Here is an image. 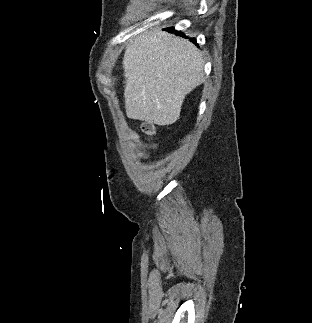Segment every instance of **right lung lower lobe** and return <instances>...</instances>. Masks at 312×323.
<instances>
[{
    "instance_id": "right-lung-lower-lobe-1",
    "label": "right lung lower lobe",
    "mask_w": 312,
    "mask_h": 323,
    "mask_svg": "<svg viewBox=\"0 0 312 323\" xmlns=\"http://www.w3.org/2000/svg\"><path fill=\"white\" fill-rule=\"evenodd\" d=\"M167 31H169V32H174V29L171 27V28H167L166 29ZM176 32V35H179V36H182V37H186L183 33H181V32H178V31H175ZM191 41L193 42V43H195L196 44V41H195V39H193V38H191ZM197 45V44H196Z\"/></svg>"
}]
</instances>
